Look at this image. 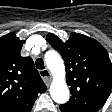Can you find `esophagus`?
Here are the masks:
<instances>
[{
	"instance_id": "obj_1",
	"label": "esophagus",
	"mask_w": 112,
	"mask_h": 112,
	"mask_svg": "<svg viewBox=\"0 0 112 112\" xmlns=\"http://www.w3.org/2000/svg\"><path fill=\"white\" fill-rule=\"evenodd\" d=\"M40 75H41V77H42L44 83H45L46 85H49L50 82H51V75H50L49 70H47V69L41 70V71H40Z\"/></svg>"
}]
</instances>
